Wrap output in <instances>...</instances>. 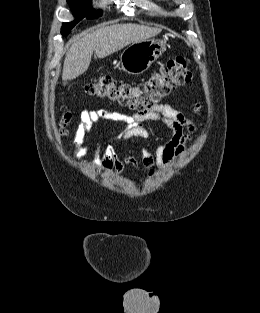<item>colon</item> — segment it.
<instances>
[{
  "instance_id": "1",
  "label": "colon",
  "mask_w": 260,
  "mask_h": 313,
  "mask_svg": "<svg viewBox=\"0 0 260 313\" xmlns=\"http://www.w3.org/2000/svg\"><path fill=\"white\" fill-rule=\"evenodd\" d=\"M192 72L185 57L169 59L158 71L138 84L116 81L104 76L88 82L84 90L88 95L106 99L119 106L140 112L152 109L174 89L190 82ZM72 115L65 112L60 120L59 131L68 134Z\"/></svg>"
}]
</instances>
